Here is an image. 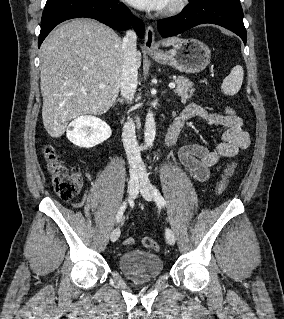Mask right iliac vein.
Instances as JSON below:
<instances>
[{
	"mask_svg": "<svg viewBox=\"0 0 284 319\" xmlns=\"http://www.w3.org/2000/svg\"><path fill=\"white\" fill-rule=\"evenodd\" d=\"M128 190H129L130 198H132V199L135 198L137 193H138V190H139V176H138L137 173H133L130 176ZM119 236H120V228L116 227L112 231L110 239H111L112 242H115L119 238Z\"/></svg>",
	"mask_w": 284,
	"mask_h": 319,
	"instance_id": "obj_1",
	"label": "right iliac vein"
}]
</instances>
